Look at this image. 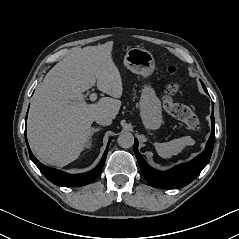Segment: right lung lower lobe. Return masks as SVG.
Returning <instances> with one entry per match:
<instances>
[{"label": "right lung lower lobe", "instance_id": "1", "mask_svg": "<svg viewBox=\"0 0 239 239\" xmlns=\"http://www.w3.org/2000/svg\"><path fill=\"white\" fill-rule=\"evenodd\" d=\"M26 119H27V116H26ZM25 138H26V131H25ZM111 140L112 138L109 140V143ZM26 143H27L29 156L31 160L38 167V169L43 173V175L52 183L59 186H64V187H80L94 181L100 175L102 171V168L106 160L107 152H108V146H109V143H108V146L103 154V157L100 163L93 170L86 173L74 175V174H69V173L59 171L57 169L49 168L41 164L32 154L27 142V138H26Z\"/></svg>", "mask_w": 239, "mask_h": 239}]
</instances>
